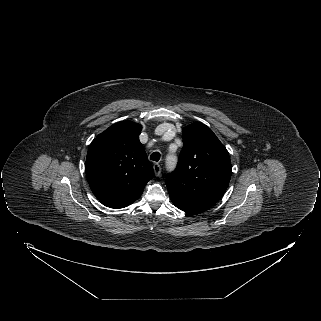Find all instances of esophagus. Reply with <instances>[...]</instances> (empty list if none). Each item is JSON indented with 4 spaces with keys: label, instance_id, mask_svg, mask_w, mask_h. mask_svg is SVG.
Instances as JSON below:
<instances>
[{
    "label": "esophagus",
    "instance_id": "34e87169",
    "mask_svg": "<svg viewBox=\"0 0 321 321\" xmlns=\"http://www.w3.org/2000/svg\"><path fill=\"white\" fill-rule=\"evenodd\" d=\"M153 169H154V172H155L156 176H160L161 175V166H160V164L155 163L153 165Z\"/></svg>",
    "mask_w": 321,
    "mask_h": 321
}]
</instances>
